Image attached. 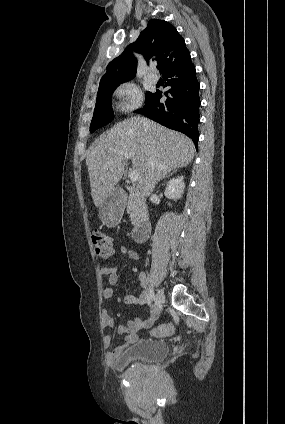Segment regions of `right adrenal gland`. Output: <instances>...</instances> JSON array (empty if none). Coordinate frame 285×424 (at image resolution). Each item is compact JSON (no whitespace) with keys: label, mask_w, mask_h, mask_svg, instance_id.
<instances>
[{"label":"right adrenal gland","mask_w":285,"mask_h":424,"mask_svg":"<svg viewBox=\"0 0 285 424\" xmlns=\"http://www.w3.org/2000/svg\"><path fill=\"white\" fill-rule=\"evenodd\" d=\"M176 171V169L169 171L168 173H166L162 178L164 179L165 177H168L170 175H172L174 172Z\"/></svg>","instance_id":"obj_1"}]
</instances>
